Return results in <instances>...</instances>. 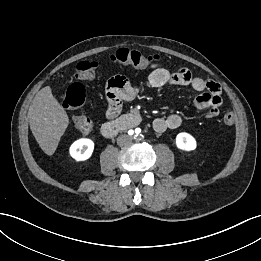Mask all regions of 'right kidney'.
Returning a JSON list of instances; mask_svg holds the SVG:
<instances>
[{"instance_id": "ca27d5eb", "label": "right kidney", "mask_w": 261, "mask_h": 261, "mask_svg": "<svg viewBox=\"0 0 261 261\" xmlns=\"http://www.w3.org/2000/svg\"><path fill=\"white\" fill-rule=\"evenodd\" d=\"M94 150V142L87 138L75 141L70 147V155L76 161H84L91 157Z\"/></svg>"}]
</instances>
